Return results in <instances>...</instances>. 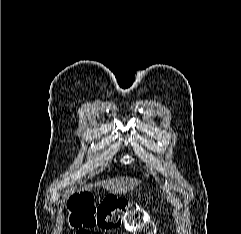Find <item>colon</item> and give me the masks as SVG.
I'll return each instance as SVG.
<instances>
[{
    "label": "colon",
    "instance_id": "obj_1",
    "mask_svg": "<svg viewBox=\"0 0 241 234\" xmlns=\"http://www.w3.org/2000/svg\"><path fill=\"white\" fill-rule=\"evenodd\" d=\"M68 207L70 224L82 228L80 230H88L95 226L101 228L122 226L131 234L155 232L154 223L144 209L115 197H105L97 202L90 194H78L69 200Z\"/></svg>",
    "mask_w": 241,
    "mask_h": 234
}]
</instances>
